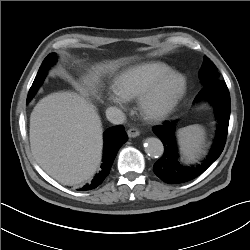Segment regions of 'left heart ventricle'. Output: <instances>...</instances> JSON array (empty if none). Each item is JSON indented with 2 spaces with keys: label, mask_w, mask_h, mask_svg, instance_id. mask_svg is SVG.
<instances>
[{
  "label": "left heart ventricle",
  "mask_w": 250,
  "mask_h": 250,
  "mask_svg": "<svg viewBox=\"0 0 250 250\" xmlns=\"http://www.w3.org/2000/svg\"><path fill=\"white\" fill-rule=\"evenodd\" d=\"M176 86V82L172 81V82H168L167 84H165L158 96V99L156 101L157 104L162 103L166 98H168L172 92L174 91Z\"/></svg>",
  "instance_id": "1"
}]
</instances>
